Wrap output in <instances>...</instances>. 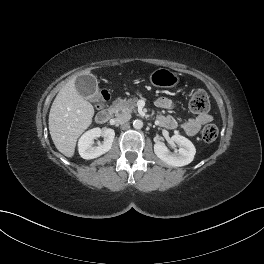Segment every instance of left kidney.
<instances>
[{"instance_id": "1", "label": "left kidney", "mask_w": 264, "mask_h": 264, "mask_svg": "<svg viewBox=\"0 0 264 264\" xmlns=\"http://www.w3.org/2000/svg\"><path fill=\"white\" fill-rule=\"evenodd\" d=\"M171 140L177 143L180 148L172 153L164 143H155L154 152L156 156L166 164L174 167H181L191 163L196 153L193 143L181 135H174Z\"/></svg>"}]
</instances>
